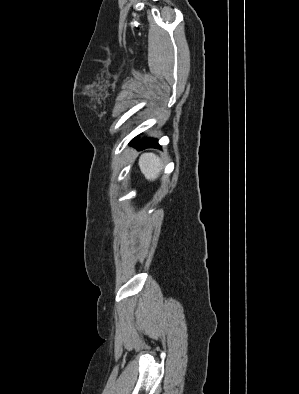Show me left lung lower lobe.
Listing matches in <instances>:
<instances>
[{"mask_svg": "<svg viewBox=\"0 0 299 394\" xmlns=\"http://www.w3.org/2000/svg\"><path fill=\"white\" fill-rule=\"evenodd\" d=\"M136 140H137V137L134 138L130 142V144L136 146L139 150H143V149L150 148V147H156V148L160 147L158 144V141L156 139H148V140H145L143 142H138V143L136 142Z\"/></svg>", "mask_w": 299, "mask_h": 394, "instance_id": "left-lung-lower-lobe-1", "label": "left lung lower lobe"}]
</instances>
